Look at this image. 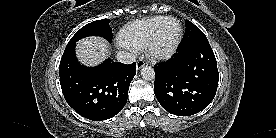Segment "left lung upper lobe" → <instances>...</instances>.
<instances>
[{
	"mask_svg": "<svg viewBox=\"0 0 276 138\" xmlns=\"http://www.w3.org/2000/svg\"><path fill=\"white\" fill-rule=\"evenodd\" d=\"M208 41L204 33L189 20H186V33L180 48L183 49L193 43Z\"/></svg>",
	"mask_w": 276,
	"mask_h": 138,
	"instance_id": "5c2ea615",
	"label": "left lung upper lobe"
}]
</instances>
